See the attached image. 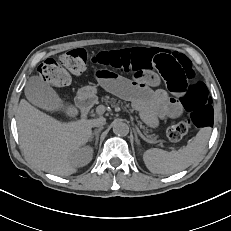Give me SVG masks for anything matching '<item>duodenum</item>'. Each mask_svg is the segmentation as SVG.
<instances>
[{"label": "duodenum", "instance_id": "410a0bca", "mask_svg": "<svg viewBox=\"0 0 231 231\" xmlns=\"http://www.w3.org/2000/svg\"><path fill=\"white\" fill-rule=\"evenodd\" d=\"M77 104L83 116H87L92 108L93 99L91 97L79 98Z\"/></svg>", "mask_w": 231, "mask_h": 231}]
</instances>
